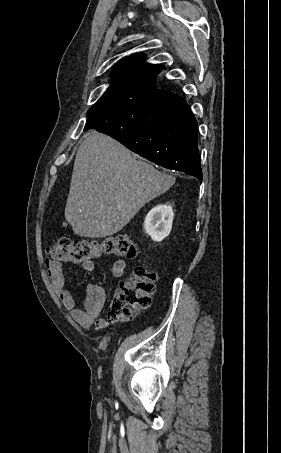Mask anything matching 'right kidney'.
<instances>
[{
  "mask_svg": "<svg viewBox=\"0 0 281 453\" xmlns=\"http://www.w3.org/2000/svg\"><path fill=\"white\" fill-rule=\"evenodd\" d=\"M173 218L174 212L170 204H157L149 210L144 220V227L152 241H163L165 237H168L172 229Z\"/></svg>",
  "mask_w": 281,
  "mask_h": 453,
  "instance_id": "obj_1",
  "label": "right kidney"
}]
</instances>
